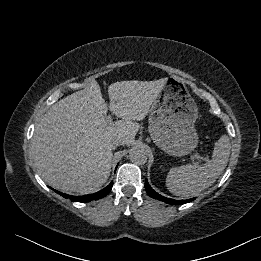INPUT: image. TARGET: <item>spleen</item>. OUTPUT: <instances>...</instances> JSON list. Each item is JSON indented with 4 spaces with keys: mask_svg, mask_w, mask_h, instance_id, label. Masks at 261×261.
Wrapping results in <instances>:
<instances>
[{
    "mask_svg": "<svg viewBox=\"0 0 261 261\" xmlns=\"http://www.w3.org/2000/svg\"><path fill=\"white\" fill-rule=\"evenodd\" d=\"M230 140L222 135L214 144L212 159L203 165L171 168L166 177L167 189L176 196L189 197L210 187L225 169L230 155Z\"/></svg>",
    "mask_w": 261,
    "mask_h": 261,
    "instance_id": "spleen-1",
    "label": "spleen"
}]
</instances>
